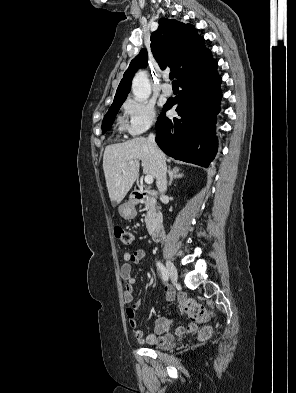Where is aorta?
I'll use <instances>...</instances> for the list:
<instances>
[{"label": "aorta", "mask_w": 296, "mask_h": 393, "mask_svg": "<svg viewBox=\"0 0 296 393\" xmlns=\"http://www.w3.org/2000/svg\"><path fill=\"white\" fill-rule=\"evenodd\" d=\"M132 92L136 100L145 101L151 94V86L144 71L138 72L132 82Z\"/></svg>", "instance_id": "aorta-1"}]
</instances>
